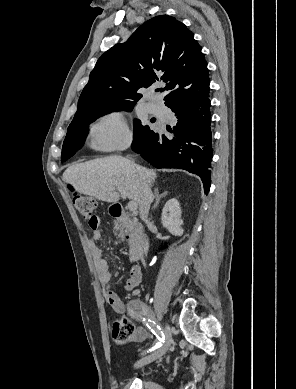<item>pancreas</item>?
Segmentation results:
<instances>
[{"mask_svg": "<svg viewBox=\"0 0 296 389\" xmlns=\"http://www.w3.org/2000/svg\"><path fill=\"white\" fill-rule=\"evenodd\" d=\"M115 234L118 235L119 238L122 240L126 236H130L131 229L126 227L124 224H122L120 221H115Z\"/></svg>", "mask_w": 296, "mask_h": 389, "instance_id": "1", "label": "pancreas"}]
</instances>
